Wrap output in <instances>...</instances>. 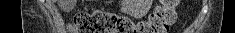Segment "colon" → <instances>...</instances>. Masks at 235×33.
<instances>
[{"instance_id":"5ec220e1","label":"colon","mask_w":235,"mask_h":33,"mask_svg":"<svg viewBox=\"0 0 235 33\" xmlns=\"http://www.w3.org/2000/svg\"><path fill=\"white\" fill-rule=\"evenodd\" d=\"M179 0H163L147 20L134 23L126 16L95 10L80 12L69 23L72 33H166L176 21Z\"/></svg>"}]
</instances>
